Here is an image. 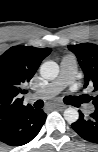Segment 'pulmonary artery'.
Listing matches in <instances>:
<instances>
[{
  "label": "pulmonary artery",
  "instance_id": "obj_1",
  "mask_svg": "<svg viewBox=\"0 0 98 152\" xmlns=\"http://www.w3.org/2000/svg\"><path fill=\"white\" fill-rule=\"evenodd\" d=\"M71 80L72 75L70 64L67 59H63L60 65L59 76L47 86L37 90L35 94H32L29 97H41L44 99L51 98L67 87Z\"/></svg>",
  "mask_w": 98,
  "mask_h": 152
}]
</instances>
